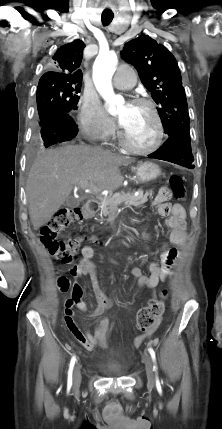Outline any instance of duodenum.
Segmentation results:
<instances>
[{
	"mask_svg": "<svg viewBox=\"0 0 222 429\" xmlns=\"http://www.w3.org/2000/svg\"><path fill=\"white\" fill-rule=\"evenodd\" d=\"M100 208V203L96 200H88L83 208V214L86 217L92 216L96 213Z\"/></svg>",
	"mask_w": 222,
	"mask_h": 429,
	"instance_id": "duodenum-1",
	"label": "duodenum"
}]
</instances>
